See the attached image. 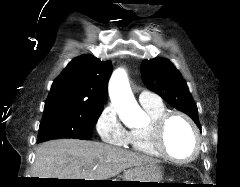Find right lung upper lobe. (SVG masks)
<instances>
[{
    "label": "right lung upper lobe",
    "mask_w": 240,
    "mask_h": 187,
    "mask_svg": "<svg viewBox=\"0 0 240 187\" xmlns=\"http://www.w3.org/2000/svg\"><path fill=\"white\" fill-rule=\"evenodd\" d=\"M110 75L111 62L93 55L76 57L53 82L45 108L61 104L103 106Z\"/></svg>",
    "instance_id": "cb5924a9"
}]
</instances>
